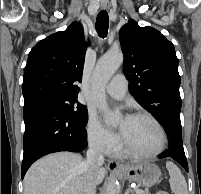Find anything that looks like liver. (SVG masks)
<instances>
[{"label": "liver", "instance_id": "1", "mask_svg": "<svg viewBox=\"0 0 201 194\" xmlns=\"http://www.w3.org/2000/svg\"><path fill=\"white\" fill-rule=\"evenodd\" d=\"M79 154L59 152L36 161L24 177V194H78L84 174ZM106 175L104 168L96 172V184Z\"/></svg>", "mask_w": 201, "mask_h": 194}]
</instances>
